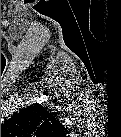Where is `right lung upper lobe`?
<instances>
[{
  "mask_svg": "<svg viewBox=\"0 0 121 137\" xmlns=\"http://www.w3.org/2000/svg\"><path fill=\"white\" fill-rule=\"evenodd\" d=\"M2 130L13 135H49L56 133L63 126L54 117L47 108L35 104L22 109L4 124H1Z\"/></svg>",
  "mask_w": 121,
  "mask_h": 137,
  "instance_id": "obj_1",
  "label": "right lung upper lobe"
}]
</instances>
